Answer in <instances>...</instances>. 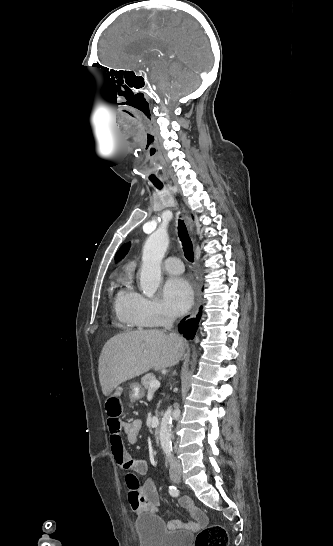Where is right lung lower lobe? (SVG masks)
I'll return each instance as SVG.
<instances>
[{
  "mask_svg": "<svg viewBox=\"0 0 333 546\" xmlns=\"http://www.w3.org/2000/svg\"><path fill=\"white\" fill-rule=\"evenodd\" d=\"M201 309H202V307H200V311L197 314V317L191 318V319H188V320H185V318H184L179 323V325H178L179 331H180V333H182L184 335V337L186 339H193L194 338L195 333H196V329L198 327V323H199V320H200V317H201Z\"/></svg>",
  "mask_w": 333,
  "mask_h": 546,
  "instance_id": "98d812e1",
  "label": "right lung lower lobe"
}]
</instances>
